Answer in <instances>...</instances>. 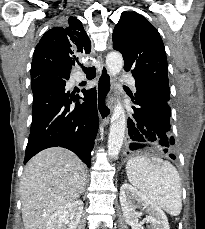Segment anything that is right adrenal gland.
Masks as SVG:
<instances>
[{
    "mask_svg": "<svg viewBox=\"0 0 205 229\" xmlns=\"http://www.w3.org/2000/svg\"><path fill=\"white\" fill-rule=\"evenodd\" d=\"M84 191H85V188H83V189H82L81 194H83V193H84Z\"/></svg>",
    "mask_w": 205,
    "mask_h": 229,
    "instance_id": "obj_1",
    "label": "right adrenal gland"
}]
</instances>
